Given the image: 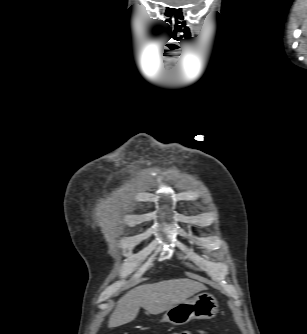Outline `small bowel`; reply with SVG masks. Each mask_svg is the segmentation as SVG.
<instances>
[{
  "mask_svg": "<svg viewBox=\"0 0 307 334\" xmlns=\"http://www.w3.org/2000/svg\"><path fill=\"white\" fill-rule=\"evenodd\" d=\"M183 334H208V333L203 329H196L193 332H184Z\"/></svg>",
  "mask_w": 307,
  "mask_h": 334,
  "instance_id": "1",
  "label": "small bowel"
}]
</instances>
